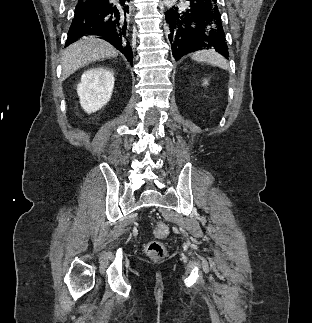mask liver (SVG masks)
<instances>
[{"label": "liver", "instance_id": "1", "mask_svg": "<svg viewBox=\"0 0 312 323\" xmlns=\"http://www.w3.org/2000/svg\"><path fill=\"white\" fill-rule=\"evenodd\" d=\"M119 52L113 48L109 42L100 40L99 36H88V38H81L78 42H74L68 46L62 58V80H66L70 74H74L76 70L103 60V58H114L118 56Z\"/></svg>", "mask_w": 312, "mask_h": 323}]
</instances>
